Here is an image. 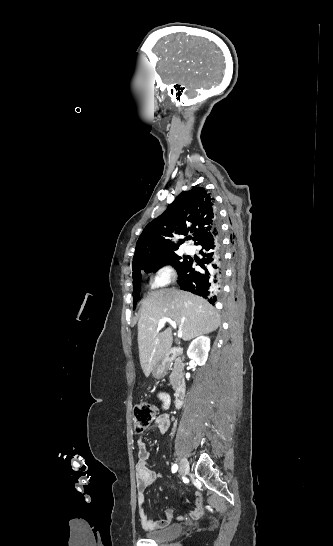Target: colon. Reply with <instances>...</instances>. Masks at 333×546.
I'll use <instances>...</instances> for the list:
<instances>
[{"instance_id": "5ec220e1", "label": "colon", "mask_w": 333, "mask_h": 546, "mask_svg": "<svg viewBox=\"0 0 333 546\" xmlns=\"http://www.w3.org/2000/svg\"><path fill=\"white\" fill-rule=\"evenodd\" d=\"M157 409L148 402H139L134 407L133 424L137 433L145 431L155 419Z\"/></svg>"}]
</instances>
